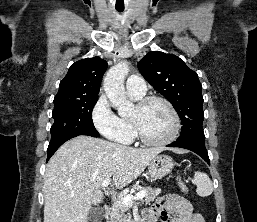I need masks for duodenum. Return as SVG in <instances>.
<instances>
[{"instance_id":"duodenum-1","label":"duodenum","mask_w":257,"mask_h":222,"mask_svg":"<svg viewBox=\"0 0 257 222\" xmlns=\"http://www.w3.org/2000/svg\"><path fill=\"white\" fill-rule=\"evenodd\" d=\"M103 210H104L105 216H109L110 212H111V206L110 205H104Z\"/></svg>"}]
</instances>
